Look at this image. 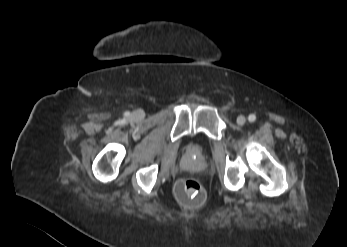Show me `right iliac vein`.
Instances as JSON below:
<instances>
[{
  "label": "right iliac vein",
  "mask_w": 347,
  "mask_h": 247,
  "mask_svg": "<svg viewBox=\"0 0 347 247\" xmlns=\"http://www.w3.org/2000/svg\"><path fill=\"white\" fill-rule=\"evenodd\" d=\"M142 115H143V112H142V111H137V112L134 113V117H135V118H141Z\"/></svg>",
  "instance_id": "obj_1"
}]
</instances>
